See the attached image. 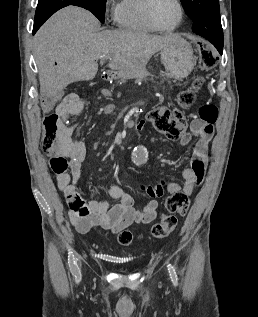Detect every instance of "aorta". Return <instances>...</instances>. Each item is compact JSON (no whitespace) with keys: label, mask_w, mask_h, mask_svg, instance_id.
Here are the masks:
<instances>
[{"label":"aorta","mask_w":258,"mask_h":317,"mask_svg":"<svg viewBox=\"0 0 258 317\" xmlns=\"http://www.w3.org/2000/svg\"><path fill=\"white\" fill-rule=\"evenodd\" d=\"M147 160V153L144 148H140L134 155V162L137 164H142Z\"/></svg>","instance_id":"762f6f07"}]
</instances>
